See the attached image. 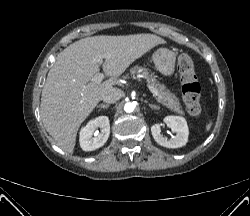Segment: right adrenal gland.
<instances>
[{
    "label": "right adrenal gland",
    "instance_id": "right-adrenal-gland-1",
    "mask_svg": "<svg viewBox=\"0 0 250 216\" xmlns=\"http://www.w3.org/2000/svg\"><path fill=\"white\" fill-rule=\"evenodd\" d=\"M97 107H100V108H108L109 105H107V104H100V105H98Z\"/></svg>",
    "mask_w": 250,
    "mask_h": 216
}]
</instances>
